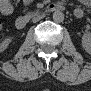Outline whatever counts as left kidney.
I'll list each match as a JSON object with an SVG mask.
<instances>
[{
	"mask_svg": "<svg viewBox=\"0 0 91 91\" xmlns=\"http://www.w3.org/2000/svg\"><path fill=\"white\" fill-rule=\"evenodd\" d=\"M82 47L86 52L91 51V37L89 34H84L82 37Z\"/></svg>",
	"mask_w": 91,
	"mask_h": 91,
	"instance_id": "left-kidney-1",
	"label": "left kidney"
}]
</instances>
